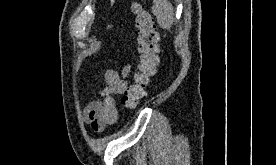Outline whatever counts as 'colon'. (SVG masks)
<instances>
[{"mask_svg":"<svg viewBox=\"0 0 276 165\" xmlns=\"http://www.w3.org/2000/svg\"><path fill=\"white\" fill-rule=\"evenodd\" d=\"M138 43V65L133 82L122 97V105L135 108L145 95L150 78L155 74L159 62V34L150 12L141 4L132 6Z\"/></svg>","mask_w":276,"mask_h":165,"instance_id":"colon-1","label":"colon"}]
</instances>
